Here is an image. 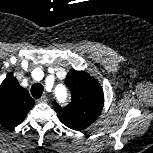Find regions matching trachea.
I'll list each match as a JSON object with an SVG mask.
<instances>
[{"mask_svg":"<svg viewBox=\"0 0 153 153\" xmlns=\"http://www.w3.org/2000/svg\"><path fill=\"white\" fill-rule=\"evenodd\" d=\"M44 87L40 83H36L31 87V94L34 98L39 99L43 94Z\"/></svg>","mask_w":153,"mask_h":153,"instance_id":"obj_1","label":"trachea"}]
</instances>
